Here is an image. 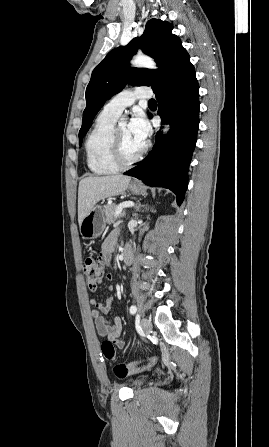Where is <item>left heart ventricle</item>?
Masks as SVG:
<instances>
[{
    "mask_svg": "<svg viewBox=\"0 0 269 447\" xmlns=\"http://www.w3.org/2000/svg\"><path fill=\"white\" fill-rule=\"evenodd\" d=\"M117 135L123 149L124 158L131 160L141 153L145 143L137 138L131 132L129 126H121L117 128Z\"/></svg>",
    "mask_w": 269,
    "mask_h": 447,
    "instance_id": "left-heart-ventricle-1",
    "label": "left heart ventricle"
}]
</instances>
